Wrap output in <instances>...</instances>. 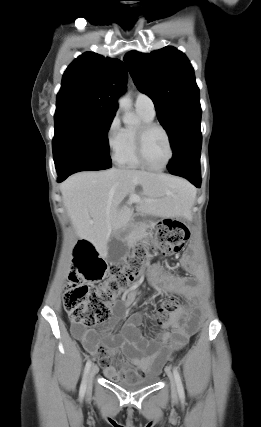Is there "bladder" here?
Listing matches in <instances>:
<instances>
[{
    "label": "bladder",
    "mask_w": 261,
    "mask_h": 427,
    "mask_svg": "<svg viewBox=\"0 0 261 427\" xmlns=\"http://www.w3.org/2000/svg\"><path fill=\"white\" fill-rule=\"evenodd\" d=\"M157 380H158V376L156 374H153L143 378L118 380L115 384L125 390L135 391L145 387L152 386L157 382Z\"/></svg>",
    "instance_id": "31cf9c89"
}]
</instances>
